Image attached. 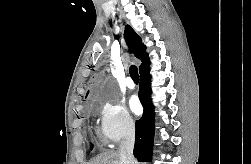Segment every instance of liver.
Listing matches in <instances>:
<instances>
[{
    "mask_svg": "<svg viewBox=\"0 0 251 164\" xmlns=\"http://www.w3.org/2000/svg\"><path fill=\"white\" fill-rule=\"evenodd\" d=\"M87 164H122L118 151H107L101 153ZM137 164V163H136Z\"/></svg>",
    "mask_w": 251,
    "mask_h": 164,
    "instance_id": "6515ba94",
    "label": "liver"
}]
</instances>
